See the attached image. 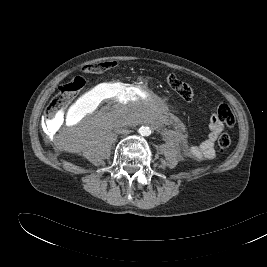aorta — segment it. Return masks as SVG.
<instances>
[{"label": "aorta", "mask_w": 267, "mask_h": 267, "mask_svg": "<svg viewBox=\"0 0 267 267\" xmlns=\"http://www.w3.org/2000/svg\"><path fill=\"white\" fill-rule=\"evenodd\" d=\"M138 132L140 133V135L142 136H149L151 134V130L149 127L147 126H142L139 128Z\"/></svg>", "instance_id": "1"}]
</instances>
